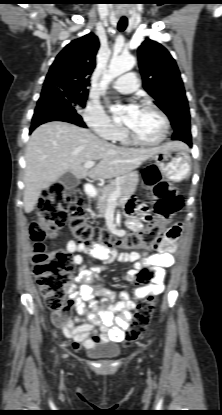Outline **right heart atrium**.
Masks as SVG:
<instances>
[{
	"label": "right heart atrium",
	"instance_id": "1",
	"mask_svg": "<svg viewBox=\"0 0 222 415\" xmlns=\"http://www.w3.org/2000/svg\"><path fill=\"white\" fill-rule=\"evenodd\" d=\"M85 124L99 137L106 140H115L122 131L119 124L115 123L103 110V108L89 102L82 112Z\"/></svg>",
	"mask_w": 222,
	"mask_h": 415
}]
</instances>
